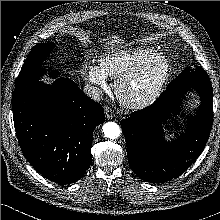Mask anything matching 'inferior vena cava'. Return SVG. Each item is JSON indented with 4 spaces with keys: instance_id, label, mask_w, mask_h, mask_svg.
<instances>
[{
    "instance_id": "inferior-vena-cava-1",
    "label": "inferior vena cava",
    "mask_w": 220,
    "mask_h": 220,
    "mask_svg": "<svg viewBox=\"0 0 220 220\" xmlns=\"http://www.w3.org/2000/svg\"><path fill=\"white\" fill-rule=\"evenodd\" d=\"M83 91L87 96H89L95 101H100L102 99L103 94L98 87L87 84L84 86Z\"/></svg>"
}]
</instances>
